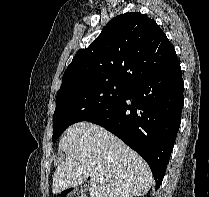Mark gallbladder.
Masks as SVG:
<instances>
[{"mask_svg":"<svg viewBox=\"0 0 209 197\" xmlns=\"http://www.w3.org/2000/svg\"><path fill=\"white\" fill-rule=\"evenodd\" d=\"M88 189H89V185L88 184H83L80 187V191L81 192H86V191H88Z\"/></svg>","mask_w":209,"mask_h":197,"instance_id":"1","label":"gallbladder"}]
</instances>
